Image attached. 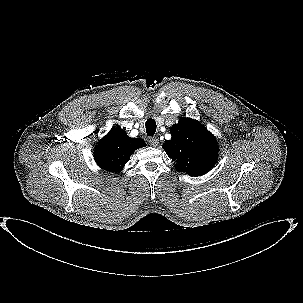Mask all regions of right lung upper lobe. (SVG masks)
Segmentation results:
<instances>
[{"instance_id": "right-lung-upper-lobe-1", "label": "right lung upper lobe", "mask_w": 303, "mask_h": 303, "mask_svg": "<svg viewBox=\"0 0 303 303\" xmlns=\"http://www.w3.org/2000/svg\"><path fill=\"white\" fill-rule=\"evenodd\" d=\"M146 143L141 138H130L121 128H113L95 146L94 159L106 171L120 172L131 154Z\"/></svg>"}]
</instances>
